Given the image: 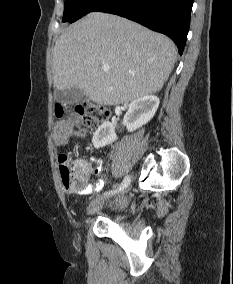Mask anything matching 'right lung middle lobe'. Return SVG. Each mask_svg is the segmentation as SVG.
<instances>
[{"label": "right lung middle lobe", "mask_w": 233, "mask_h": 284, "mask_svg": "<svg viewBox=\"0 0 233 284\" xmlns=\"http://www.w3.org/2000/svg\"><path fill=\"white\" fill-rule=\"evenodd\" d=\"M107 0H65L63 22L73 23L89 12H93Z\"/></svg>", "instance_id": "dd1d6c3e"}]
</instances>
